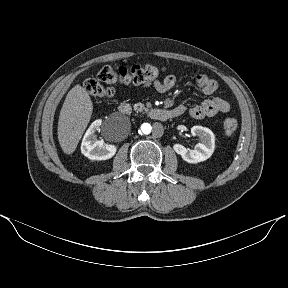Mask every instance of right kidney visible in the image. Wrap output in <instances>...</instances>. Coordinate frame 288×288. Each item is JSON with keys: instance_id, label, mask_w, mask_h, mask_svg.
Wrapping results in <instances>:
<instances>
[{"instance_id": "1", "label": "right kidney", "mask_w": 288, "mask_h": 288, "mask_svg": "<svg viewBox=\"0 0 288 288\" xmlns=\"http://www.w3.org/2000/svg\"><path fill=\"white\" fill-rule=\"evenodd\" d=\"M102 120H95L86 131L81 152L91 160H107L112 158L116 151V145H105L103 140H97L96 132L101 130Z\"/></svg>"}]
</instances>
